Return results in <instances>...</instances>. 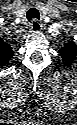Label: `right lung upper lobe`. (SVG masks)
I'll use <instances>...</instances> for the list:
<instances>
[{"label":"right lung upper lobe","mask_w":77,"mask_h":125,"mask_svg":"<svg viewBox=\"0 0 77 125\" xmlns=\"http://www.w3.org/2000/svg\"><path fill=\"white\" fill-rule=\"evenodd\" d=\"M13 50L9 44L5 43L3 40H0V63L5 65L12 58Z\"/></svg>","instance_id":"1"}]
</instances>
